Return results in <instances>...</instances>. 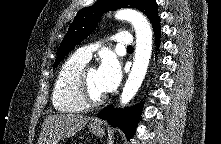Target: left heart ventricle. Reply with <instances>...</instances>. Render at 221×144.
I'll return each mask as SVG.
<instances>
[{
    "mask_svg": "<svg viewBox=\"0 0 221 144\" xmlns=\"http://www.w3.org/2000/svg\"><path fill=\"white\" fill-rule=\"evenodd\" d=\"M88 83H89L90 90L94 95H100V94L104 93L98 85V71H97V69L91 68L89 70Z\"/></svg>",
    "mask_w": 221,
    "mask_h": 144,
    "instance_id": "1",
    "label": "left heart ventricle"
}]
</instances>
